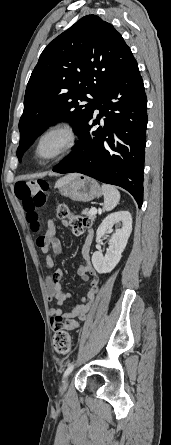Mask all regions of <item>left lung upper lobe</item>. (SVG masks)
Masks as SVG:
<instances>
[{
    "instance_id": "1",
    "label": "left lung upper lobe",
    "mask_w": 171,
    "mask_h": 445,
    "mask_svg": "<svg viewBox=\"0 0 171 445\" xmlns=\"http://www.w3.org/2000/svg\"><path fill=\"white\" fill-rule=\"evenodd\" d=\"M136 63L121 34L96 15L84 16L56 37L42 52L27 84L17 157L54 121L70 122L79 135L97 94Z\"/></svg>"
}]
</instances>
